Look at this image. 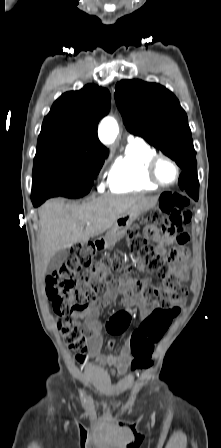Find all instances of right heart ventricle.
<instances>
[{
  "label": "right heart ventricle",
  "instance_id": "1",
  "mask_svg": "<svg viewBox=\"0 0 221 448\" xmlns=\"http://www.w3.org/2000/svg\"><path fill=\"white\" fill-rule=\"evenodd\" d=\"M156 151L144 142H130L113 163L108 179L110 191L128 193L154 190L159 186L147 177V165Z\"/></svg>",
  "mask_w": 221,
  "mask_h": 448
}]
</instances>
